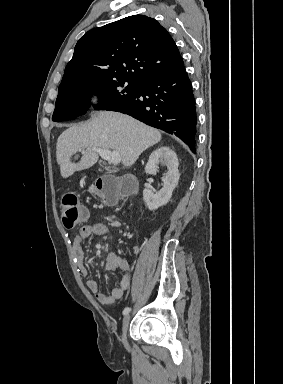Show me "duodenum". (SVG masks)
I'll list each match as a JSON object with an SVG mask.
<instances>
[{
  "mask_svg": "<svg viewBox=\"0 0 283 384\" xmlns=\"http://www.w3.org/2000/svg\"><path fill=\"white\" fill-rule=\"evenodd\" d=\"M109 178L106 179V182H108Z\"/></svg>",
  "mask_w": 283,
  "mask_h": 384,
  "instance_id": "1",
  "label": "duodenum"
}]
</instances>
